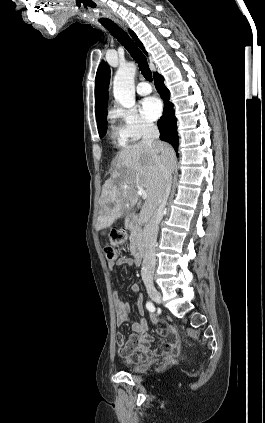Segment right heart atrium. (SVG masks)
<instances>
[{"label":"right heart atrium","mask_w":265,"mask_h":423,"mask_svg":"<svg viewBox=\"0 0 265 423\" xmlns=\"http://www.w3.org/2000/svg\"><path fill=\"white\" fill-rule=\"evenodd\" d=\"M111 115L120 123L118 130L125 141H136L155 127L154 123L140 114L136 108L116 107Z\"/></svg>","instance_id":"1"}]
</instances>
